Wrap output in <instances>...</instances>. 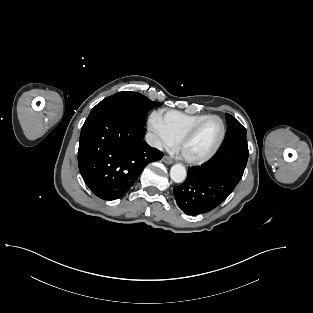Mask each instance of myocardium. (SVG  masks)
Wrapping results in <instances>:
<instances>
[{"mask_svg": "<svg viewBox=\"0 0 313 313\" xmlns=\"http://www.w3.org/2000/svg\"><path fill=\"white\" fill-rule=\"evenodd\" d=\"M217 119L220 124H221V133L219 136L218 141L216 142L215 146L213 147V149L206 155L202 156V157H187L182 153V147L183 145L190 139V137L195 133V131L203 124L205 123L207 120L209 119ZM225 134H226V125L224 120L218 116V115H207L206 117H204L203 119H201L200 121L196 122L195 124H193L191 127H189L177 140V149L178 151L182 154L183 158L190 164H202L207 162L208 160H210L220 149L224 138H225Z\"/></svg>", "mask_w": 313, "mask_h": 313, "instance_id": "myocardium-1", "label": "myocardium"}]
</instances>
